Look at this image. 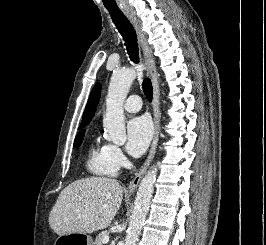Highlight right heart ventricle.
I'll return each instance as SVG.
<instances>
[{
    "label": "right heart ventricle",
    "mask_w": 266,
    "mask_h": 245,
    "mask_svg": "<svg viewBox=\"0 0 266 245\" xmlns=\"http://www.w3.org/2000/svg\"><path fill=\"white\" fill-rule=\"evenodd\" d=\"M86 168L88 172L100 178H114L118 175V167L113 163L108 144L93 139L87 147Z\"/></svg>",
    "instance_id": "right-heart-ventricle-1"
}]
</instances>
